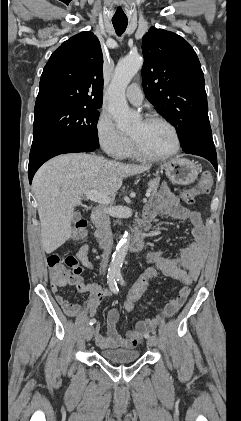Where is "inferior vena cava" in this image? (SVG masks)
<instances>
[{
  "mask_svg": "<svg viewBox=\"0 0 241 421\" xmlns=\"http://www.w3.org/2000/svg\"><path fill=\"white\" fill-rule=\"evenodd\" d=\"M91 218L103 237L105 247L102 254L101 268L102 272L105 273L109 261V255L113 246V234L110 226V219L107 215L106 208L103 206H97L92 211Z\"/></svg>",
  "mask_w": 241,
  "mask_h": 421,
  "instance_id": "1",
  "label": "inferior vena cava"
}]
</instances>
